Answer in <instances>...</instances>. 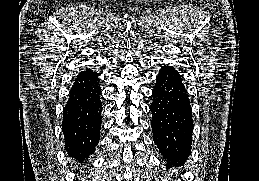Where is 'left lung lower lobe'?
<instances>
[{
	"label": "left lung lower lobe",
	"instance_id": "obj_1",
	"mask_svg": "<svg viewBox=\"0 0 259 181\" xmlns=\"http://www.w3.org/2000/svg\"><path fill=\"white\" fill-rule=\"evenodd\" d=\"M152 91L153 140L167 161L186 159L191 152L193 133L192 109L182 75L165 65L156 76Z\"/></svg>",
	"mask_w": 259,
	"mask_h": 181
}]
</instances>
